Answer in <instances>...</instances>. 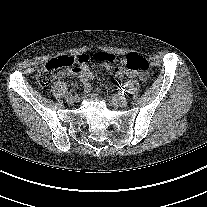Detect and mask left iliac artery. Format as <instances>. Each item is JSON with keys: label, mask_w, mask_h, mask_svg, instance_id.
<instances>
[{"label": "left iliac artery", "mask_w": 207, "mask_h": 207, "mask_svg": "<svg viewBox=\"0 0 207 207\" xmlns=\"http://www.w3.org/2000/svg\"><path fill=\"white\" fill-rule=\"evenodd\" d=\"M130 97V94L128 93V92H125L124 94H123V98L124 99H128Z\"/></svg>", "instance_id": "obj_1"}]
</instances>
